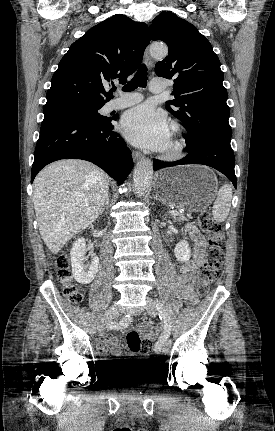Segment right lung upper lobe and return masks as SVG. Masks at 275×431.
<instances>
[{"label": "right lung upper lobe", "mask_w": 275, "mask_h": 431, "mask_svg": "<svg viewBox=\"0 0 275 431\" xmlns=\"http://www.w3.org/2000/svg\"><path fill=\"white\" fill-rule=\"evenodd\" d=\"M149 42L148 26L122 14L89 29L61 59L46 95L44 114L103 106L113 98L105 91L108 83L113 79L126 82Z\"/></svg>", "instance_id": "cb5924a9"}]
</instances>
